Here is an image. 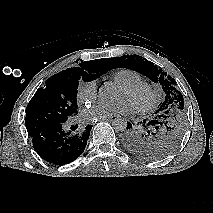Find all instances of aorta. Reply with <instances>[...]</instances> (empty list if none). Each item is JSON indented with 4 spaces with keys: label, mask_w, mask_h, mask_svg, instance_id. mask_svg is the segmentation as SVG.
I'll use <instances>...</instances> for the list:
<instances>
[{
    "label": "aorta",
    "mask_w": 213,
    "mask_h": 213,
    "mask_svg": "<svg viewBox=\"0 0 213 213\" xmlns=\"http://www.w3.org/2000/svg\"><path fill=\"white\" fill-rule=\"evenodd\" d=\"M99 100L103 103H113L117 100L118 94L115 87L111 84L104 85L98 94ZM115 131H125L127 128V121L124 118H116L112 122Z\"/></svg>",
    "instance_id": "aorta-1"
}]
</instances>
